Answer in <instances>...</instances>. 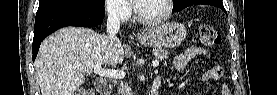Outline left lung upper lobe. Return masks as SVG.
Instances as JSON below:
<instances>
[{
	"label": "left lung upper lobe",
	"instance_id": "1",
	"mask_svg": "<svg viewBox=\"0 0 277 95\" xmlns=\"http://www.w3.org/2000/svg\"><path fill=\"white\" fill-rule=\"evenodd\" d=\"M200 1V0H174V6H173V11L174 12H179L182 9L190 6L191 4ZM214 2H222V0H210Z\"/></svg>",
	"mask_w": 277,
	"mask_h": 95
}]
</instances>
